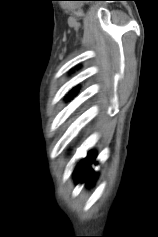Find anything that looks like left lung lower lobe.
<instances>
[{
  "mask_svg": "<svg viewBox=\"0 0 158 237\" xmlns=\"http://www.w3.org/2000/svg\"><path fill=\"white\" fill-rule=\"evenodd\" d=\"M95 155L90 153L89 156L79 164L75 171V178L77 181L80 180H88L90 182L93 177L92 169L90 168V164L94 161Z\"/></svg>",
  "mask_w": 158,
  "mask_h": 237,
  "instance_id": "obj_1",
  "label": "left lung lower lobe"
}]
</instances>
